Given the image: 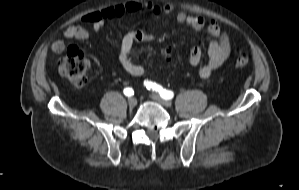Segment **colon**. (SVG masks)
<instances>
[{
    "instance_id": "5ec220e1",
    "label": "colon",
    "mask_w": 299,
    "mask_h": 190,
    "mask_svg": "<svg viewBox=\"0 0 299 190\" xmlns=\"http://www.w3.org/2000/svg\"><path fill=\"white\" fill-rule=\"evenodd\" d=\"M173 49H164L160 53L162 60H169L172 57ZM249 63V53L245 49H238L234 58V65L237 68H244ZM59 72L66 77L72 85L83 88L88 82L86 70V57L84 52L75 45L68 48L66 55L59 63Z\"/></svg>"
}]
</instances>
